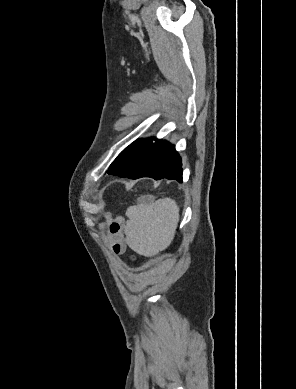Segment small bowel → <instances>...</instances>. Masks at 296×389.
<instances>
[{
    "mask_svg": "<svg viewBox=\"0 0 296 389\" xmlns=\"http://www.w3.org/2000/svg\"><path fill=\"white\" fill-rule=\"evenodd\" d=\"M107 234L106 241L112 247V250L119 254L125 250V241L123 239L122 229H123V219L120 217L117 218H107L106 222Z\"/></svg>",
    "mask_w": 296,
    "mask_h": 389,
    "instance_id": "c3829d8e",
    "label": "small bowel"
}]
</instances>
